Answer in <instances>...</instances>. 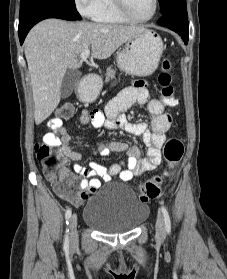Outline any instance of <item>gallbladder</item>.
I'll use <instances>...</instances> for the list:
<instances>
[{
  "label": "gallbladder",
  "mask_w": 227,
  "mask_h": 279,
  "mask_svg": "<svg viewBox=\"0 0 227 279\" xmlns=\"http://www.w3.org/2000/svg\"><path fill=\"white\" fill-rule=\"evenodd\" d=\"M80 77L81 73L77 70L66 71L60 89L62 98H67L72 94L74 87L80 80Z\"/></svg>",
  "instance_id": "gallbladder-1"
}]
</instances>
